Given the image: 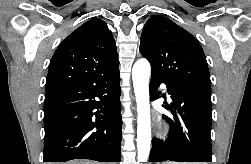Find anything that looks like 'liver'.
<instances>
[{
    "mask_svg": "<svg viewBox=\"0 0 251 164\" xmlns=\"http://www.w3.org/2000/svg\"><path fill=\"white\" fill-rule=\"evenodd\" d=\"M65 164H98V163L91 162V161H71Z\"/></svg>",
    "mask_w": 251,
    "mask_h": 164,
    "instance_id": "6515ba94",
    "label": "liver"
}]
</instances>
